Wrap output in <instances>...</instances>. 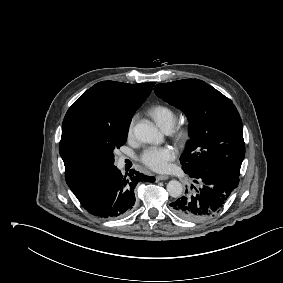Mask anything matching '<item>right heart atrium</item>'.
<instances>
[{
    "label": "right heart atrium",
    "mask_w": 283,
    "mask_h": 283,
    "mask_svg": "<svg viewBox=\"0 0 283 283\" xmlns=\"http://www.w3.org/2000/svg\"><path fill=\"white\" fill-rule=\"evenodd\" d=\"M133 125H134V120H132L128 126V129H127V135L128 137H131L132 134H133Z\"/></svg>",
    "instance_id": "d8ad5b80"
}]
</instances>
